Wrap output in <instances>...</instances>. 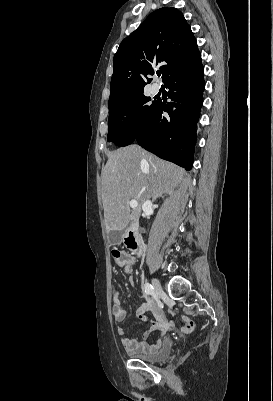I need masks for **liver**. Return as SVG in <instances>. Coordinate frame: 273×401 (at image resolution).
<instances>
[{
  "instance_id": "1",
  "label": "liver",
  "mask_w": 273,
  "mask_h": 401,
  "mask_svg": "<svg viewBox=\"0 0 273 401\" xmlns=\"http://www.w3.org/2000/svg\"><path fill=\"white\" fill-rule=\"evenodd\" d=\"M184 168L161 160L138 144L123 146L108 154L102 170V203L106 231H122L129 221H138L148 198L155 201L171 192L182 180H189ZM130 201L138 207L130 213Z\"/></svg>"
}]
</instances>
